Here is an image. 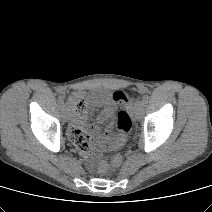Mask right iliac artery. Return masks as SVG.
I'll return each instance as SVG.
<instances>
[{
  "label": "right iliac artery",
  "mask_w": 212,
  "mask_h": 212,
  "mask_svg": "<svg viewBox=\"0 0 212 212\" xmlns=\"http://www.w3.org/2000/svg\"><path fill=\"white\" fill-rule=\"evenodd\" d=\"M58 104H59V106H60V108L61 109H63L64 108V101H63V97H58Z\"/></svg>",
  "instance_id": "82829eb1"
}]
</instances>
